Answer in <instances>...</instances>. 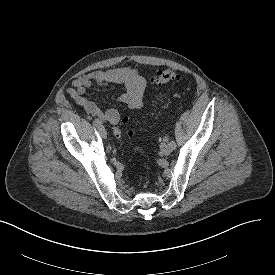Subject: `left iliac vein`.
Returning a JSON list of instances; mask_svg holds the SVG:
<instances>
[{"label": "left iliac vein", "mask_w": 275, "mask_h": 275, "mask_svg": "<svg viewBox=\"0 0 275 275\" xmlns=\"http://www.w3.org/2000/svg\"><path fill=\"white\" fill-rule=\"evenodd\" d=\"M161 153L164 155H169L173 148L169 143H162L160 146Z\"/></svg>", "instance_id": "left-iliac-vein-1"}]
</instances>
